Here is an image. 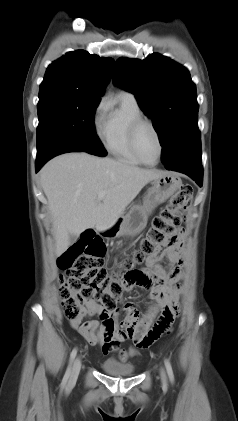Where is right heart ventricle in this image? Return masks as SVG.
<instances>
[{
  "label": "right heart ventricle",
  "instance_id": "e07e8e85",
  "mask_svg": "<svg viewBox=\"0 0 238 421\" xmlns=\"http://www.w3.org/2000/svg\"><path fill=\"white\" fill-rule=\"evenodd\" d=\"M142 116L135 98L122 93L114 105L108 107L100 131L105 148L120 161L129 165L142 163L134 155L130 145V127Z\"/></svg>",
  "mask_w": 238,
  "mask_h": 421
}]
</instances>
